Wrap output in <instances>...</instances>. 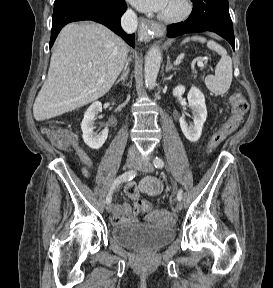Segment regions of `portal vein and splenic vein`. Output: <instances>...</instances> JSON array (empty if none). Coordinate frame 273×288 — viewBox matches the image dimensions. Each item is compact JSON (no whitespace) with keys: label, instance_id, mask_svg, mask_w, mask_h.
Here are the masks:
<instances>
[{"label":"portal vein and splenic vein","instance_id":"portal-vein-and-splenic-vein-1","mask_svg":"<svg viewBox=\"0 0 273 288\" xmlns=\"http://www.w3.org/2000/svg\"><path fill=\"white\" fill-rule=\"evenodd\" d=\"M197 65H198L199 67H203V66H204V64H203L202 61H198V62H197Z\"/></svg>","mask_w":273,"mask_h":288}]
</instances>
